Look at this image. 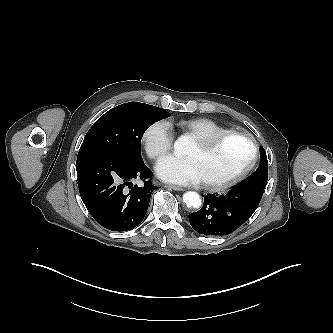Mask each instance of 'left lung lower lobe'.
Wrapping results in <instances>:
<instances>
[{
  "instance_id": "0a47b994",
  "label": "left lung lower lobe",
  "mask_w": 333,
  "mask_h": 333,
  "mask_svg": "<svg viewBox=\"0 0 333 333\" xmlns=\"http://www.w3.org/2000/svg\"><path fill=\"white\" fill-rule=\"evenodd\" d=\"M263 192L233 187L227 194L204 196L203 207L189 215L191 226L205 236L229 234L254 213Z\"/></svg>"
}]
</instances>
